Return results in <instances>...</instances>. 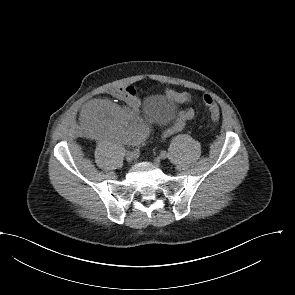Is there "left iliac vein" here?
Returning a JSON list of instances; mask_svg holds the SVG:
<instances>
[{"label":"left iliac vein","instance_id":"4c4485c4","mask_svg":"<svg viewBox=\"0 0 295 295\" xmlns=\"http://www.w3.org/2000/svg\"><path fill=\"white\" fill-rule=\"evenodd\" d=\"M162 159H164L163 157H161V156H158V157H156L155 159H154V163L156 164V165H160L161 164V161H162Z\"/></svg>","mask_w":295,"mask_h":295}]
</instances>
